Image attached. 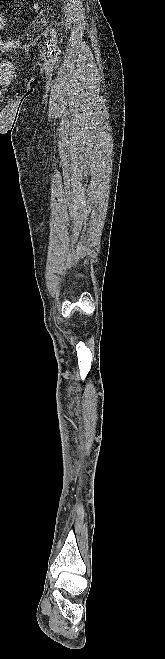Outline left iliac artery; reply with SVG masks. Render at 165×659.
Listing matches in <instances>:
<instances>
[{
  "label": "left iliac artery",
  "instance_id": "obj_1",
  "mask_svg": "<svg viewBox=\"0 0 165 659\" xmlns=\"http://www.w3.org/2000/svg\"><path fill=\"white\" fill-rule=\"evenodd\" d=\"M52 35H53L54 37H56V32H55V29H54V28H52Z\"/></svg>",
  "mask_w": 165,
  "mask_h": 659
}]
</instances>
